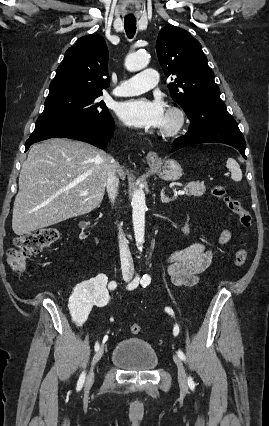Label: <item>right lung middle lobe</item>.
<instances>
[{
	"mask_svg": "<svg viewBox=\"0 0 269 426\" xmlns=\"http://www.w3.org/2000/svg\"><path fill=\"white\" fill-rule=\"evenodd\" d=\"M101 95L102 92L79 90L50 92L45 101L44 111L37 119L30 138L73 124L96 121L109 116L105 103L98 99Z\"/></svg>",
	"mask_w": 269,
	"mask_h": 426,
	"instance_id": "obj_1",
	"label": "right lung middle lobe"
}]
</instances>
